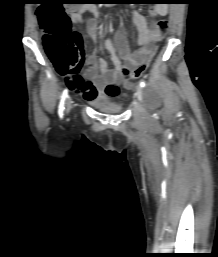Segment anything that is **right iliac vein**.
<instances>
[{
	"label": "right iliac vein",
	"mask_w": 218,
	"mask_h": 257,
	"mask_svg": "<svg viewBox=\"0 0 218 257\" xmlns=\"http://www.w3.org/2000/svg\"><path fill=\"white\" fill-rule=\"evenodd\" d=\"M71 97L68 96L66 98V102H65V109H66V113H68L71 110Z\"/></svg>",
	"instance_id": "63e3f726"
}]
</instances>
